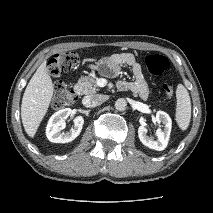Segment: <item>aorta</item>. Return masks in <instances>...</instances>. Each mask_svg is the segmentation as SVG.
<instances>
[{"mask_svg": "<svg viewBox=\"0 0 213 213\" xmlns=\"http://www.w3.org/2000/svg\"><path fill=\"white\" fill-rule=\"evenodd\" d=\"M126 107H127V102L123 98H120L115 102V108L118 111H124L126 109Z\"/></svg>", "mask_w": 213, "mask_h": 213, "instance_id": "obj_1", "label": "aorta"}]
</instances>
